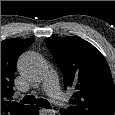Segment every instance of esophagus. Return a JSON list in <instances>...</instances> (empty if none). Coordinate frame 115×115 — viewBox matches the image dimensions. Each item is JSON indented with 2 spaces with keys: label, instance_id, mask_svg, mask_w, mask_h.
Instances as JSON below:
<instances>
[{
  "label": "esophagus",
  "instance_id": "esophagus-1",
  "mask_svg": "<svg viewBox=\"0 0 115 115\" xmlns=\"http://www.w3.org/2000/svg\"><path fill=\"white\" fill-rule=\"evenodd\" d=\"M40 113L43 115H54L56 113V111L42 108V109H40Z\"/></svg>",
  "mask_w": 115,
  "mask_h": 115
}]
</instances>
